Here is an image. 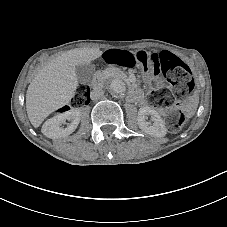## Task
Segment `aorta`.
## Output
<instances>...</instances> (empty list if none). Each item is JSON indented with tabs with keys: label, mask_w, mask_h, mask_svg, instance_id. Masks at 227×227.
Here are the masks:
<instances>
[{
	"label": "aorta",
	"mask_w": 227,
	"mask_h": 227,
	"mask_svg": "<svg viewBox=\"0 0 227 227\" xmlns=\"http://www.w3.org/2000/svg\"><path fill=\"white\" fill-rule=\"evenodd\" d=\"M109 87L111 92L115 95H123L126 91L125 83L121 79H113Z\"/></svg>",
	"instance_id": "obj_1"
}]
</instances>
